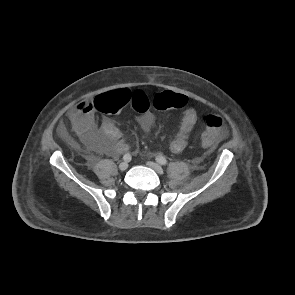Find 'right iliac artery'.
Listing matches in <instances>:
<instances>
[{
	"label": "right iliac artery",
	"instance_id": "1",
	"mask_svg": "<svg viewBox=\"0 0 295 295\" xmlns=\"http://www.w3.org/2000/svg\"><path fill=\"white\" fill-rule=\"evenodd\" d=\"M123 160L124 161H126V162H129V161H131V155L130 154H125L124 156H123Z\"/></svg>",
	"mask_w": 295,
	"mask_h": 295
}]
</instances>
